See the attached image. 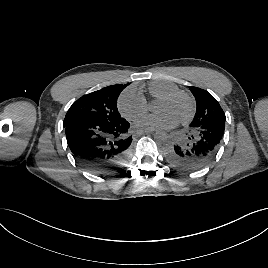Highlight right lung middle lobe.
Returning <instances> with one entry per match:
<instances>
[{
	"label": "right lung middle lobe",
	"instance_id": "dd1d6c3e",
	"mask_svg": "<svg viewBox=\"0 0 268 268\" xmlns=\"http://www.w3.org/2000/svg\"><path fill=\"white\" fill-rule=\"evenodd\" d=\"M111 85L82 96L67 111L64 126L76 119L111 123L121 119L117 108L120 92L128 85Z\"/></svg>",
	"mask_w": 268,
	"mask_h": 268
}]
</instances>
